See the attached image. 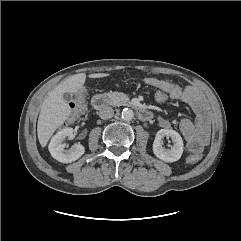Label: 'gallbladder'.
Masks as SVG:
<instances>
[{"label":"gallbladder","mask_w":241,"mask_h":241,"mask_svg":"<svg viewBox=\"0 0 241 241\" xmlns=\"http://www.w3.org/2000/svg\"><path fill=\"white\" fill-rule=\"evenodd\" d=\"M63 98H64V100H65L66 102H70V101H72L73 96H72L71 93L65 92V93L63 94Z\"/></svg>","instance_id":"gallbladder-1"}]
</instances>
